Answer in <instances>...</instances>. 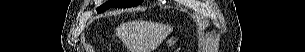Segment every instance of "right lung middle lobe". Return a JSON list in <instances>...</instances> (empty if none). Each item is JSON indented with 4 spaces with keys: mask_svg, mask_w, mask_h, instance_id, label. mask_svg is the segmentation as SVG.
Returning a JSON list of instances; mask_svg holds the SVG:
<instances>
[{
    "mask_svg": "<svg viewBox=\"0 0 305 52\" xmlns=\"http://www.w3.org/2000/svg\"><path fill=\"white\" fill-rule=\"evenodd\" d=\"M142 1H132V0H109L103 5H101L99 8H97L98 13L104 12L106 9L109 8H114V7H121V8H126V7H132L136 6Z\"/></svg>",
    "mask_w": 305,
    "mask_h": 52,
    "instance_id": "dd1d6c3e",
    "label": "right lung middle lobe"
}]
</instances>
